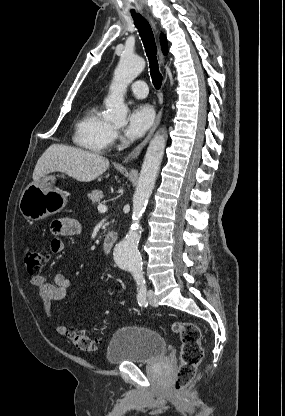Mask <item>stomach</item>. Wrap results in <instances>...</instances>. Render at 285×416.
<instances>
[{
    "instance_id": "1",
    "label": "stomach",
    "mask_w": 285,
    "mask_h": 416,
    "mask_svg": "<svg viewBox=\"0 0 285 416\" xmlns=\"http://www.w3.org/2000/svg\"><path fill=\"white\" fill-rule=\"evenodd\" d=\"M56 176H44L25 188L19 202V210L26 220H43L58 214L67 204L65 192L56 188Z\"/></svg>"
}]
</instances>
